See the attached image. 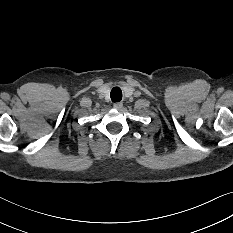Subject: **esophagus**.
<instances>
[{
    "label": "esophagus",
    "instance_id": "obj_1",
    "mask_svg": "<svg viewBox=\"0 0 233 233\" xmlns=\"http://www.w3.org/2000/svg\"><path fill=\"white\" fill-rule=\"evenodd\" d=\"M113 107L115 109L120 110L123 107V103L122 102H116V103L113 104Z\"/></svg>",
    "mask_w": 233,
    "mask_h": 233
}]
</instances>
